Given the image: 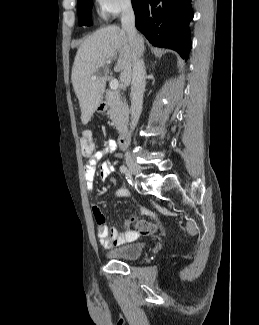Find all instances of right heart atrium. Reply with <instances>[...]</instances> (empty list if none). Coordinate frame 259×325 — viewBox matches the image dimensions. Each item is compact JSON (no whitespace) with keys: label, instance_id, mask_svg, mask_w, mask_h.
<instances>
[{"label":"right heart atrium","instance_id":"1","mask_svg":"<svg viewBox=\"0 0 259 325\" xmlns=\"http://www.w3.org/2000/svg\"><path fill=\"white\" fill-rule=\"evenodd\" d=\"M131 0H96V5L100 15L109 18L118 15L127 9Z\"/></svg>","mask_w":259,"mask_h":325}]
</instances>
